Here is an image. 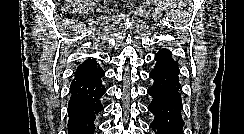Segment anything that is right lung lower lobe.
<instances>
[{
    "instance_id": "obj_1",
    "label": "right lung lower lobe",
    "mask_w": 244,
    "mask_h": 134,
    "mask_svg": "<svg viewBox=\"0 0 244 134\" xmlns=\"http://www.w3.org/2000/svg\"><path fill=\"white\" fill-rule=\"evenodd\" d=\"M100 75L75 80L70 85L71 97L68 103L69 134H94L96 115L103 110L101 97L105 93Z\"/></svg>"
}]
</instances>
